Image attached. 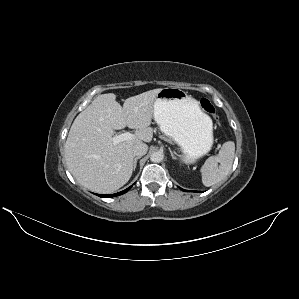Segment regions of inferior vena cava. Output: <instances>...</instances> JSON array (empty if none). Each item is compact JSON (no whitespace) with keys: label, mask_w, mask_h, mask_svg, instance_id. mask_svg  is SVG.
I'll return each instance as SVG.
<instances>
[{"label":"inferior vena cava","mask_w":299,"mask_h":299,"mask_svg":"<svg viewBox=\"0 0 299 299\" xmlns=\"http://www.w3.org/2000/svg\"><path fill=\"white\" fill-rule=\"evenodd\" d=\"M148 151V146L144 143H141L139 145H136L133 149V154L135 156H143L147 153Z\"/></svg>","instance_id":"602c4592"}]
</instances>
